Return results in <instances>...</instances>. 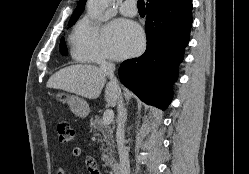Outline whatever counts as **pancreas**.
Wrapping results in <instances>:
<instances>
[{
	"mask_svg": "<svg viewBox=\"0 0 249 174\" xmlns=\"http://www.w3.org/2000/svg\"><path fill=\"white\" fill-rule=\"evenodd\" d=\"M90 127L91 131L97 132V135L100 137V142L102 143L101 150L102 155L101 159L105 162L106 166H112L114 159V148H115V142L113 140V133L112 130L106 126L103 125L102 120L99 116H95L91 118L90 121ZM107 146L104 148V146Z\"/></svg>",
	"mask_w": 249,
	"mask_h": 174,
	"instance_id": "pancreas-1",
	"label": "pancreas"
}]
</instances>
